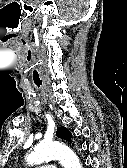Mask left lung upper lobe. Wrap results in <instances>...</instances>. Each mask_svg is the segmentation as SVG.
Segmentation results:
<instances>
[{"mask_svg": "<svg viewBox=\"0 0 127 168\" xmlns=\"http://www.w3.org/2000/svg\"><path fill=\"white\" fill-rule=\"evenodd\" d=\"M56 135L66 141H70L71 133L66 127H58Z\"/></svg>", "mask_w": 127, "mask_h": 168, "instance_id": "5c2ea615", "label": "left lung upper lobe"}]
</instances>
